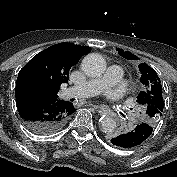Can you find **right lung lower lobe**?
<instances>
[{
    "instance_id": "1",
    "label": "right lung lower lobe",
    "mask_w": 177,
    "mask_h": 177,
    "mask_svg": "<svg viewBox=\"0 0 177 177\" xmlns=\"http://www.w3.org/2000/svg\"><path fill=\"white\" fill-rule=\"evenodd\" d=\"M16 104L26 127L41 135L61 129L76 111L70 102L31 93L16 94Z\"/></svg>"
}]
</instances>
